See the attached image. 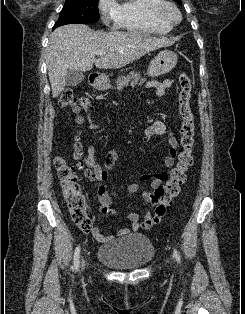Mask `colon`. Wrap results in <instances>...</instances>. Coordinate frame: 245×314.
<instances>
[{
	"label": "colon",
	"mask_w": 245,
	"mask_h": 314,
	"mask_svg": "<svg viewBox=\"0 0 245 314\" xmlns=\"http://www.w3.org/2000/svg\"><path fill=\"white\" fill-rule=\"evenodd\" d=\"M178 83L180 86L179 114L182 118L180 131L183 149L165 184L158 186L153 194L147 197L148 201L155 206L157 213H164L172 199L178 195L182 184L186 180V173L193 164L194 124L193 114L190 109L192 81L188 74L182 72L178 77ZM59 105L70 109L73 113H77L81 109V99H77L72 89H65L59 97ZM81 155L82 145L76 142L73 144L72 154L75 162L71 163L64 157H57L54 166L72 221L80 230L90 232L92 230V221L87 214L86 198L80 189L77 176V171L84 170V164L80 159ZM85 174L89 179L95 177L90 171H85ZM105 195L110 197L108 191Z\"/></svg>",
	"instance_id": "colon-1"
}]
</instances>
